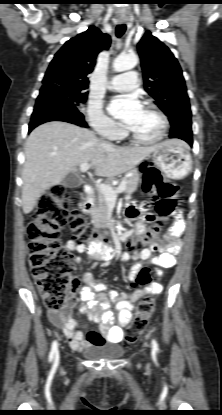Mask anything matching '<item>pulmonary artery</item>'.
Masks as SVG:
<instances>
[{
	"instance_id": "obj_1",
	"label": "pulmonary artery",
	"mask_w": 222,
	"mask_h": 415,
	"mask_svg": "<svg viewBox=\"0 0 222 415\" xmlns=\"http://www.w3.org/2000/svg\"><path fill=\"white\" fill-rule=\"evenodd\" d=\"M139 79L136 71L113 76L107 83V88L117 91H131L138 86Z\"/></svg>"
}]
</instances>
